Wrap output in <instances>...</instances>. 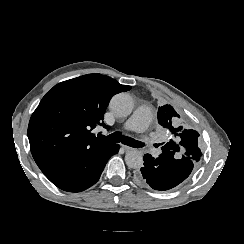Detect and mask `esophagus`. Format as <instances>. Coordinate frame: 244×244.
I'll return each instance as SVG.
<instances>
[{
    "label": "esophagus",
    "mask_w": 244,
    "mask_h": 244,
    "mask_svg": "<svg viewBox=\"0 0 244 244\" xmlns=\"http://www.w3.org/2000/svg\"><path fill=\"white\" fill-rule=\"evenodd\" d=\"M122 148L125 151H131V150H133V148H131L130 146H126V145H122Z\"/></svg>",
    "instance_id": "esophagus-1"
}]
</instances>
